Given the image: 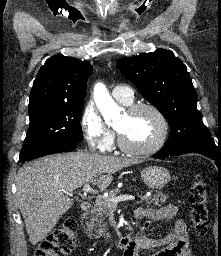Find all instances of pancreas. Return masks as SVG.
<instances>
[{"instance_id": "pancreas-1", "label": "pancreas", "mask_w": 221, "mask_h": 256, "mask_svg": "<svg viewBox=\"0 0 221 256\" xmlns=\"http://www.w3.org/2000/svg\"><path fill=\"white\" fill-rule=\"evenodd\" d=\"M119 189L116 188L109 192V196L105 197H97L95 204L92 208V215L89 217L86 222L87 225V233L92 236V231L98 235V237L104 236V238H110V233L107 232L108 226L105 222V217L108 215V211L111 207L109 199L115 197L119 193ZM141 202H144L146 205L160 206L168 199V195L163 194L162 192H156L152 196H140Z\"/></svg>"}]
</instances>
